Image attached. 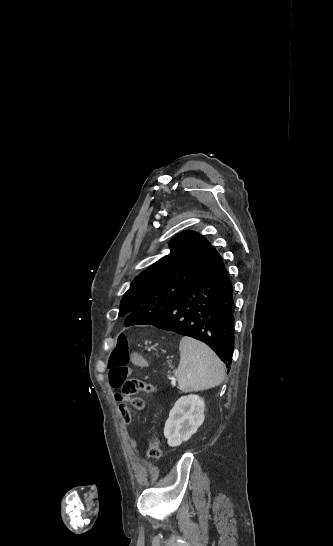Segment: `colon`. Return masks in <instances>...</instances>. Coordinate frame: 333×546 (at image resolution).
<instances>
[{
	"label": "colon",
	"instance_id": "obj_1",
	"mask_svg": "<svg viewBox=\"0 0 333 546\" xmlns=\"http://www.w3.org/2000/svg\"><path fill=\"white\" fill-rule=\"evenodd\" d=\"M130 355L128 340L125 335L121 334L117 338V343L109 359V380L112 387L122 389V398H125L134 408L142 409L144 402L138 393L140 391L152 392L155 387L152 383L128 378ZM148 457L152 461H159L162 457V443L155 434L149 438Z\"/></svg>",
	"mask_w": 333,
	"mask_h": 546
}]
</instances>
